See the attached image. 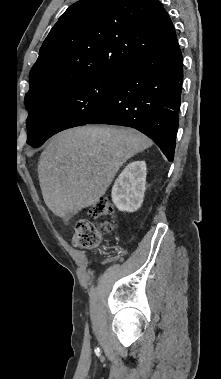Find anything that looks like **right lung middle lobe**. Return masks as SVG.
<instances>
[{
    "mask_svg": "<svg viewBox=\"0 0 221 379\" xmlns=\"http://www.w3.org/2000/svg\"><path fill=\"white\" fill-rule=\"evenodd\" d=\"M118 72L106 71L71 81L26 103L27 143L39 147L59 131L87 124L112 99Z\"/></svg>",
    "mask_w": 221,
    "mask_h": 379,
    "instance_id": "1",
    "label": "right lung middle lobe"
}]
</instances>
